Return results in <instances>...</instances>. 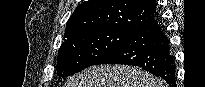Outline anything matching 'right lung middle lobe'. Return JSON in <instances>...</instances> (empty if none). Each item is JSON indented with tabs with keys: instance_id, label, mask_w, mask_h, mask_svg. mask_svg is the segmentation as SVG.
<instances>
[{
	"instance_id": "obj_1",
	"label": "right lung middle lobe",
	"mask_w": 205,
	"mask_h": 87,
	"mask_svg": "<svg viewBox=\"0 0 205 87\" xmlns=\"http://www.w3.org/2000/svg\"><path fill=\"white\" fill-rule=\"evenodd\" d=\"M131 34L124 30L104 29L85 32L65 40L58 52L59 77L65 79L96 64Z\"/></svg>"
}]
</instances>
